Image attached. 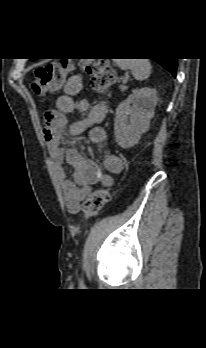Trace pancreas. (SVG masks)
I'll return each instance as SVG.
<instances>
[{
  "instance_id": "1",
  "label": "pancreas",
  "mask_w": 206,
  "mask_h": 348,
  "mask_svg": "<svg viewBox=\"0 0 206 348\" xmlns=\"http://www.w3.org/2000/svg\"><path fill=\"white\" fill-rule=\"evenodd\" d=\"M123 83H126V82H123ZM119 88L121 91H125L127 89V87L125 85H121Z\"/></svg>"
}]
</instances>
